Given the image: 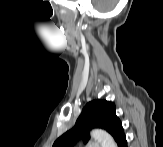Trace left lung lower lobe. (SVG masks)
<instances>
[{
  "label": "left lung lower lobe",
  "instance_id": "obj_1",
  "mask_svg": "<svg viewBox=\"0 0 163 147\" xmlns=\"http://www.w3.org/2000/svg\"><path fill=\"white\" fill-rule=\"evenodd\" d=\"M115 141L117 142L118 147H127V141L124 134V130L120 133V135Z\"/></svg>",
  "mask_w": 163,
  "mask_h": 147
}]
</instances>
